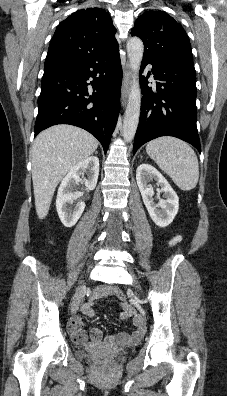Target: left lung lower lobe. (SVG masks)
Listing matches in <instances>:
<instances>
[{
  "label": "left lung lower lobe",
  "mask_w": 227,
  "mask_h": 396,
  "mask_svg": "<svg viewBox=\"0 0 227 396\" xmlns=\"http://www.w3.org/2000/svg\"><path fill=\"white\" fill-rule=\"evenodd\" d=\"M151 64L156 92L143 84L141 113L135 135L133 154L146 142L160 136H174L192 144L201 152L196 120V72L192 67L143 56L142 70ZM148 78V77H147Z\"/></svg>",
  "instance_id": "obj_1"
}]
</instances>
